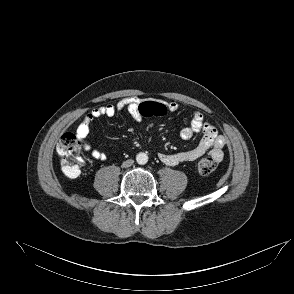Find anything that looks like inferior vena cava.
<instances>
[{"label":"inferior vena cava","instance_id":"1","mask_svg":"<svg viewBox=\"0 0 294 294\" xmlns=\"http://www.w3.org/2000/svg\"><path fill=\"white\" fill-rule=\"evenodd\" d=\"M133 163H134V160H132V159H128V160H126V161H124V162L122 163V167H123V168L130 167Z\"/></svg>","mask_w":294,"mask_h":294}]
</instances>
